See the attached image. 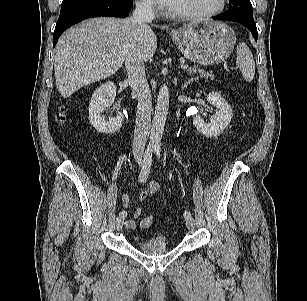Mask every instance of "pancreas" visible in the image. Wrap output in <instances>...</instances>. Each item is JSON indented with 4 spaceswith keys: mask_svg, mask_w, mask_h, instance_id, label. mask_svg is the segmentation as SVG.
Listing matches in <instances>:
<instances>
[{
    "mask_svg": "<svg viewBox=\"0 0 307 301\" xmlns=\"http://www.w3.org/2000/svg\"><path fill=\"white\" fill-rule=\"evenodd\" d=\"M189 73H193V74H200V76L202 78H206V79H210V80H213L214 79V73L213 71H205L203 69H200L198 66H193L191 68H189L187 70Z\"/></svg>",
    "mask_w": 307,
    "mask_h": 301,
    "instance_id": "pancreas-1",
    "label": "pancreas"
}]
</instances>
